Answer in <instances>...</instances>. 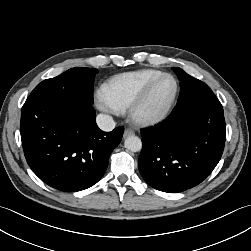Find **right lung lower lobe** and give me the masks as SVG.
Wrapping results in <instances>:
<instances>
[{"label":"right lung lower lobe","mask_w":251,"mask_h":251,"mask_svg":"<svg viewBox=\"0 0 251 251\" xmlns=\"http://www.w3.org/2000/svg\"><path fill=\"white\" fill-rule=\"evenodd\" d=\"M20 132L32 171L55 189L75 192L101 179L124 129L100 130L92 105L29 96L22 107Z\"/></svg>","instance_id":"obj_1"}]
</instances>
